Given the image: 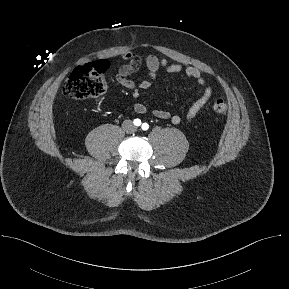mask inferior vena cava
<instances>
[{
    "label": "inferior vena cava",
    "instance_id": "602c4592",
    "mask_svg": "<svg viewBox=\"0 0 289 289\" xmlns=\"http://www.w3.org/2000/svg\"><path fill=\"white\" fill-rule=\"evenodd\" d=\"M122 127L126 132H131L135 130V126L133 125L131 120H125L122 124Z\"/></svg>",
    "mask_w": 289,
    "mask_h": 289
}]
</instances>
